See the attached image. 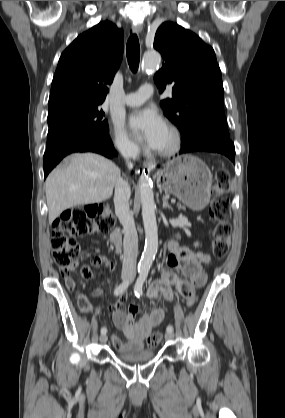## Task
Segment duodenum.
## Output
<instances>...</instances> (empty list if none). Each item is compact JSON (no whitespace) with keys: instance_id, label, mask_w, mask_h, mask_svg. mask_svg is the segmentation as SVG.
<instances>
[{"instance_id":"1","label":"duodenum","mask_w":285,"mask_h":418,"mask_svg":"<svg viewBox=\"0 0 285 418\" xmlns=\"http://www.w3.org/2000/svg\"><path fill=\"white\" fill-rule=\"evenodd\" d=\"M122 235L119 229H116L111 234V241L115 245L116 249L119 250L121 246Z\"/></svg>"}]
</instances>
